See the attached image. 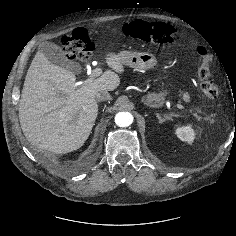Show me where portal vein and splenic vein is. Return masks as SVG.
Here are the masks:
<instances>
[{
  "label": "portal vein and splenic vein",
  "instance_id": "18ae733b",
  "mask_svg": "<svg viewBox=\"0 0 236 236\" xmlns=\"http://www.w3.org/2000/svg\"><path fill=\"white\" fill-rule=\"evenodd\" d=\"M101 73H102V70L100 68L93 69L91 76L85 82H92L93 79L97 76H100ZM77 85H79V84L77 83ZM177 107L179 109H184V107L180 104H177Z\"/></svg>",
  "mask_w": 236,
  "mask_h": 236
}]
</instances>
